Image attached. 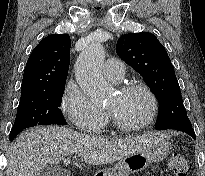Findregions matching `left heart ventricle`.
<instances>
[{
  "label": "left heart ventricle",
  "mask_w": 205,
  "mask_h": 176,
  "mask_svg": "<svg viewBox=\"0 0 205 176\" xmlns=\"http://www.w3.org/2000/svg\"><path fill=\"white\" fill-rule=\"evenodd\" d=\"M106 108L113 111L124 123L138 124L148 117L151 106L143 92L133 91L126 94L116 93Z\"/></svg>",
  "instance_id": "left-heart-ventricle-1"
}]
</instances>
